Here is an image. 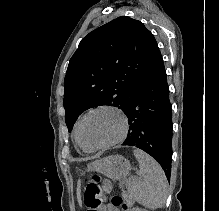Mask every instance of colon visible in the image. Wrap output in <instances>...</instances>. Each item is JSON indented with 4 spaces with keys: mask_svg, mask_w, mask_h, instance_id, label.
Segmentation results:
<instances>
[{
    "mask_svg": "<svg viewBox=\"0 0 219 211\" xmlns=\"http://www.w3.org/2000/svg\"><path fill=\"white\" fill-rule=\"evenodd\" d=\"M91 181L95 184H102L103 188L106 191L110 189V183L108 181L102 180V178L98 174H93L91 176ZM111 202L114 207H120L123 210L128 209V205L126 204V202L123 200L121 196H118V195L113 196L111 199Z\"/></svg>",
    "mask_w": 219,
    "mask_h": 211,
    "instance_id": "1",
    "label": "colon"
}]
</instances>
